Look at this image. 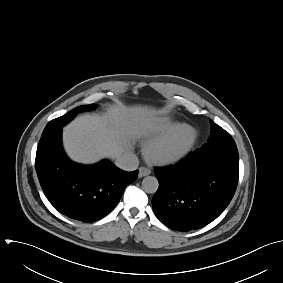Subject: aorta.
I'll use <instances>...</instances> for the list:
<instances>
[{
    "mask_svg": "<svg viewBox=\"0 0 283 283\" xmlns=\"http://www.w3.org/2000/svg\"><path fill=\"white\" fill-rule=\"evenodd\" d=\"M158 186V180L154 176H147L142 181V189L146 193H155L158 189Z\"/></svg>",
    "mask_w": 283,
    "mask_h": 283,
    "instance_id": "1",
    "label": "aorta"
}]
</instances>
